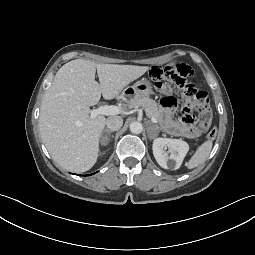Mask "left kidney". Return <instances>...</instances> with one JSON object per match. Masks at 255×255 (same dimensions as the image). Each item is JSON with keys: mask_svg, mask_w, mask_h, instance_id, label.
<instances>
[{"mask_svg": "<svg viewBox=\"0 0 255 255\" xmlns=\"http://www.w3.org/2000/svg\"><path fill=\"white\" fill-rule=\"evenodd\" d=\"M152 149L157 163L162 168L176 170L189 151V145L181 139L156 138Z\"/></svg>", "mask_w": 255, "mask_h": 255, "instance_id": "left-kidney-1", "label": "left kidney"}]
</instances>
